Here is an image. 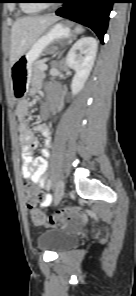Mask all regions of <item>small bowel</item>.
<instances>
[{"instance_id": "c3829d8e", "label": "small bowel", "mask_w": 136, "mask_h": 296, "mask_svg": "<svg viewBox=\"0 0 136 296\" xmlns=\"http://www.w3.org/2000/svg\"><path fill=\"white\" fill-rule=\"evenodd\" d=\"M30 108V102L28 100L21 101L16 108V116L18 119V130L21 141L22 150V174L25 178L30 179L40 188L46 186L45 172L47 169L46 157L49 154V147L51 145V127L47 124H37L34 130L41 133L46 137L42 155L33 157V152L37 147V139L34 136L32 130L29 128L26 122V115ZM53 194L47 193L43 206H49L53 201Z\"/></svg>"}]
</instances>
